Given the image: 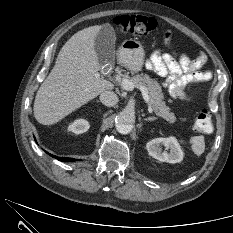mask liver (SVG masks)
<instances>
[{"label":"liver","mask_w":233,"mask_h":233,"mask_svg":"<svg viewBox=\"0 0 233 233\" xmlns=\"http://www.w3.org/2000/svg\"><path fill=\"white\" fill-rule=\"evenodd\" d=\"M100 29L95 25L78 31L60 50L35 97L34 117L40 124H55L100 93L114 88L98 72L94 38Z\"/></svg>","instance_id":"obj_1"}]
</instances>
